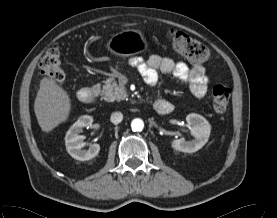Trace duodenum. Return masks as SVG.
<instances>
[{
	"instance_id": "obj_1",
	"label": "duodenum",
	"mask_w": 277,
	"mask_h": 218,
	"mask_svg": "<svg viewBox=\"0 0 277 218\" xmlns=\"http://www.w3.org/2000/svg\"><path fill=\"white\" fill-rule=\"evenodd\" d=\"M96 95V91L91 89V88H82L79 92H78V98L81 102L83 103H91ZM171 108V104L164 100L161 101L160 106L158 107V109L165 114L168 110H170Z\"/></svg>"
}]
</instances>
